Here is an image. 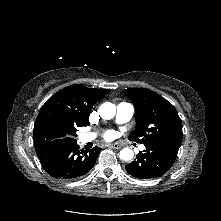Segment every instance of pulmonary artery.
<instances>
[{
    "label": "pulmonary artery",
    "mask_w": 221,
    "mask_h": 221,
    "mask_svg": "<svg viewBox=\"0 0 221 221\" xmlns=\"http://www.w3.org/2000/svg\"><path fill=\"white\" fill-rule=\"evenodd\" d=\"M134 114V106L128 102H121L117 105L116 108V121L119 123H125L129 121ZM95 139L94 133H85L79 136L81 143H87ZM140 150H144L145 146L140 145Z\"/></svg>",
    "instance_id": "1"
}]
</instances>
